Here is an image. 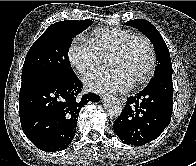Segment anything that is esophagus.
<instances>
[{
  "label": "esophagus",
  "mask_w": 196,
  "mask_h": 166,
  "mask_svg": "<svg viewBox=\"0 0 196 166\" xmlns=\"http://www.w3.org/2000/svg\"><path fill=\"white\" fill-rule=\"evenodd\" d=\"M101 98H103V99H104V98H105V96H104V95H102V96H101ZM120 100H121V102H122V103H125V102H126V98H125V97H120Z\"/></svg>",
  "instance_id": "obj_1"
}]
</instances>
